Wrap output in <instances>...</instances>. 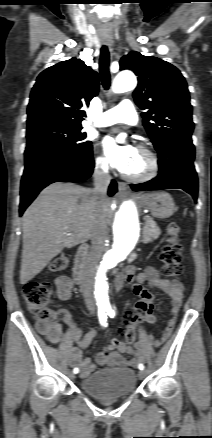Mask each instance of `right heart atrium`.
<instances>
[{"label":"right heart atrium","mask_w":212,"mask_h":438,"mask_svg":"<svg viewBox=\"0 0 212 438\" xmlns=\"http://www.w3.org/2000/svg\"><path fill=\"white\" fill-rule=\"evenodd\" d=\"M95 168L100 173H106L109 169L107 159L102 155L97 156L95 159Z\"/></svg>","instance_id":"1"}]
</instances>
